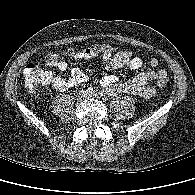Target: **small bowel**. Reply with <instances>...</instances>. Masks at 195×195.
Masks as SVG:
<instances>
[{
  "label": "small bowel",
  "mask_w": 195,
  "mask_h": 195,
  "mask_svg": "<svg viewBox=\"0 0 195 195\" xmlns=\"http://www.w3.org/2000/svg\"><path fill=\"white\" fill-rule=\"evenodd\" d=\"M98 55H101L106 70H116L123 66L131 69H140L144 66V61L140 57L133 56V53L129 50L118 51L115 54H112L110 51L99 53L94 50H83L78 52L75 58L90 60ZM148 65L151 68L150 70L141 71L127 81L119 82L116 75L106 74L101 77L100 83L111 95L130 93L143 97H151L155 94V89L148 86V82L158 80L160 75L165 74L166 71L156 70L158 67V60L156 58L150 59ZM53 66L61 72L68 69L67 63L61 60H58ZM88 80L89 77L86 73L79 68H73L71 70V77L68 80L63 79L59 75H55L50 77L48 82H51L59 90H66L87 83Z\"/></svg>",
  "instance_id": "obj_1"
}]
</instances>
